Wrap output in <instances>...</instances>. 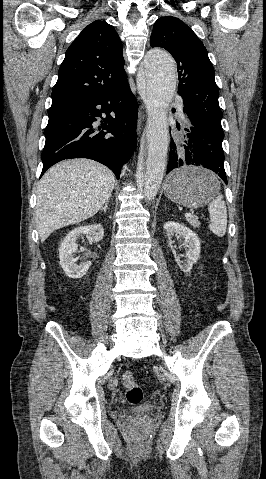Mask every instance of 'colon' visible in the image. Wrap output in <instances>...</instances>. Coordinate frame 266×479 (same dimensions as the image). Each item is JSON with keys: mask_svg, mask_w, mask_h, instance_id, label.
I'll list each match as a JSON object with an SVG mask.
<instances>
[{"mask_svg": "<svg viewBox=\"0 0 266 479\" xmlns=\"http://www.w3.org/2000/svg\"><path fill=\"white\" fill-rule=\"evenodd\" d=\"M122 383L126 389V399L130 404H139L143 399L142 388L135 382L133 374L129 371L123 373Z\"/></svg>", "mask_w": 266, "mask_h": 479, "instance_id": "5ec220e1", "label": "colon"}]
</instances>
